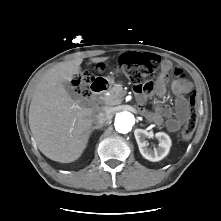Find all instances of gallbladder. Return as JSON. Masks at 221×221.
Returning a JSON list of instances; mask_svg holds the SVG:
<instances>
[{"label": "gallbladder", "mask_w": 221, "mask_h": 221, "mask_svg": "<svg viewBox=\"0 0 221 221\" xmlns=\"http://www.w3.org/2000/svg\"><path fill=\"white\" fill-rule=\"evenodd\" d=\"M63 86H64L65 90L68 92V94L71 97H74L75 92H74L73 86L70 84V82H64Z\"/></svg>", "instance_id": "1"}]
</instances>
